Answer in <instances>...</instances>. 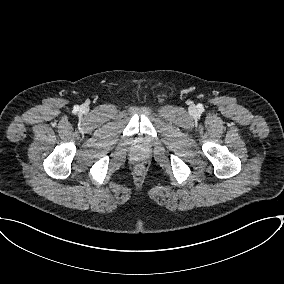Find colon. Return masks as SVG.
<instances>
[{"mask_svg": "<svg viewBox=\"0 0 284 284\" xmlns=\"http://www.w3.org/2000/svg\"><path fill=\"white\" fill-rule=\"evenodd\" d=\"M140 168H141L140 166L137 167L138 170H140Z\"/></svg>", "mask_w": 284, "mask_h": 284, "instance_id": "1", "label": "colon"}]
</instances>
